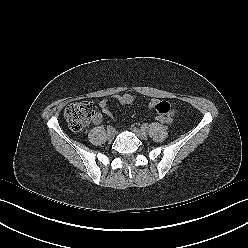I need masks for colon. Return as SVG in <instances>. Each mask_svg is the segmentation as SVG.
<instances>
[{
	"label": "colon",
	"mask_w": 248,
	"mask_h": 248,
	"mask_svg": "<svg viewBox=\"0 0 248 248\" xmlns=\"http://www.w3.org/2000/svg\"><path fill=\"white\" fill-rule=\"evenodd\" d=\"M95 106L91 101H80L69 104L64 110V117L74 132H82L94 116ZM155 120L161 124L169 123L166 116L158 114Z\"/></svg>",
	"instance_id": "colon-1"
}]
</instances>
